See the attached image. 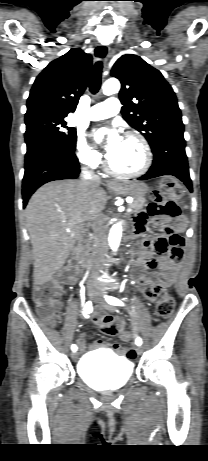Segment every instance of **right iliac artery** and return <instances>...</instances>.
<instances>
[{"instance_id":"1","label":"right iliac artery","mask_w":208,"mask_h":461,"mask_svg":"<svg viewBox=\"0 0 208 461\" xmlns=\"http://www.w3.org/2000/svg\"><path fill=\"white\" fill-rule=\"evenodd\" d=\"M92 310H93L92 303H91L90 301H88V302L86 303V305L84 306V312H85V314L87 315V314L91 313ZM71 350H72L73 352L77 351V346H76L75 344H73V345L71 346Z\"/></svg>"}]
</instances>
